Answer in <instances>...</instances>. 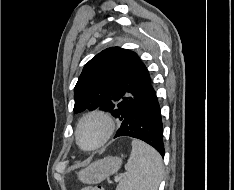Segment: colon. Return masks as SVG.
<instances>
[{
	"instance_id": "5ec220e1",
	"label": "colon",
	"mask_w": 234,
	"mask_h": 190,
	"mask_svg": "<svg viewBox=\"0 0 234 190\" xmlns=\"http://www.w3.org/2000/svg\"><path fill=\"white\" fill-rule=\"evenodd\" d=\"M81 190H105V189L103 188V186L97 185V186H93V187H86V188H83Z\"/></svg>"
}]
</instances>
